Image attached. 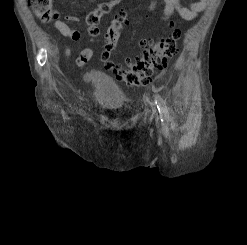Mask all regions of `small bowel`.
Instances as JSON below:
<instances>
[{
    "label": "small bowel",
    "instance_id": "c3829d8e",
    "mask_svg": "<svg viewBox=\"0 0 247 245\" xmlns=\"http://www.w3.org/2000/svg\"><path fill=\"white\" fill-rule=\"evenodd\" d=\"M94 1V0H89ZM208 0H194L188 6L182 4L181 0H163V9L158 15V18L162 22L168 21L174 13H178L180 17L185 20H193L197 15L202 12L207 6ZM79 22L80 17L78 15H64L59 12L54 13V27L65 37H68L74 41H78L81 34L78 30L71 28L66 21ZM127 21L126 11H119L108 30L117 32L118 39L122 36V28ZM107 30V31H108ZM65 56L68 58L71 55V50L66 47L64 50ZM94 52L90 48L83 49L76 59V64L80 67L87 64L93 57Z\"/></svg>",
    "mask_w": 247,
    "mask_h": 245
}]
</instances>
